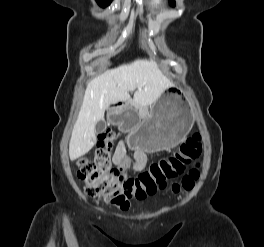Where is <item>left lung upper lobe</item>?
I'll return each instance as SVG.
<instances>
[{
  "label": "left lung upper lobe",
  "mask_w": 264,
  "mask_h": 247,
  "mask_svg": "<svg viewBox=\"0 0 264 247\" xmlns=\"http://www.w3.org/2000/svg\"><path fill=\"white\" fill-rule=\"evenodd\" d=\"M170 2H171L173 5L175 4L174 0H170Z\"/></svg>",
  "instance_id": "5c2ea615"
}]
</instances>
